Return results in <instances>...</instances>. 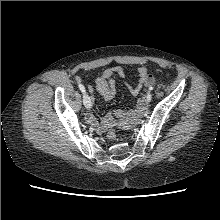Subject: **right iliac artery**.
I'll list each match as a JSON object with an SVG mask.
<instances>
[{
    "label": "right iliac artery",
    "instance_id": "obj_1",
    "mask_svg": "<svg viewBox=\"0 0 220 220\" xmlns=\"http://www.w3.org/2000/svg\"><path fill=\"white\" fill-rule=\"evenodd\" d=\"M78 87H79V89L81 90V92L83 93V94H85V87L82 85V84H78Z\"/></svg>",
    "mask_w": 220,
    "mask_h": 220
}]
</instances>
